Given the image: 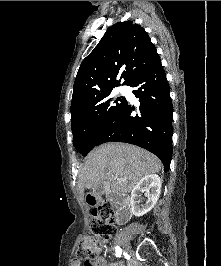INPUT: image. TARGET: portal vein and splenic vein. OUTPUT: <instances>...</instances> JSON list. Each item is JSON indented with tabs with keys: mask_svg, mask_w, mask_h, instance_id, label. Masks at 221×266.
Here are the masks:
<instances>
[{
	"mask_svg": "<svg viewBox=\"0 0 221 266\" xmlns=\"http://www.w3.org/2000/svg\"><path fill=\"white\" fill-rule=\"evenodd\" d=\"M115 179H117L118 181H124L123 179L118 178L117 176H115Z\"/></svg>",
	"mask_w": 221,
	"mask_h": 266,
	"instance_id": "portal-vein-and-splenic-vein-1",
	"label": "portal vein and splenic vein"
}]
</instances>
